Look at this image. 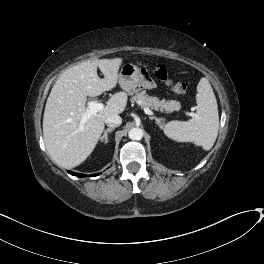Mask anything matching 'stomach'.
I'll use <instances>...</instances> for the list:
<instances>
[{
    "mask_svg": "<svg viewBox=\"0 0 264 264\" xmlns=\"http://www.w3.org/2000/svg\"><path fill=\"white\" fill-rule=\"evenodd\" d=\"M118 81L128 94L137 93L144 81L140 68L132 63L124 64L120 70Z\"/></svg>",
    "mask_w": 264,
    "mask_h": 264,
    "instance_id": "stomach-1",
    "label": "stomach"
}]
</instances>
